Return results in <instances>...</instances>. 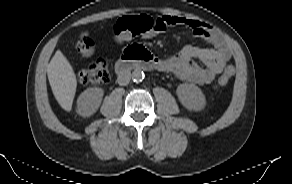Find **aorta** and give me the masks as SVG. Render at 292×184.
<instances>
[{
	"label": "aorta",
	"mask_w": 292,
	"mask_h": 184,
	"mask_svg": "<svg viewBox=\"0 0 292 184\" xmlns=\"http://www.w3.org/2000/svg\"><path fill=\"white\" fill-rule=\"evenodd\" d=\"M132 80L136 83L143 81L145 75L143 73V71L139 70V69H135L132 74Z\"/></svg>",
	"instance_id": "aorta-1"
}]
</instances>
